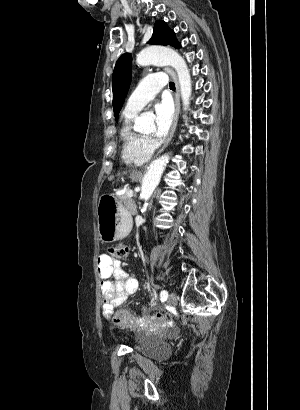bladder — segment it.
Instances as JSON below:
<instances>
[{
    "instance_id": "1",
    "label": "bladder",
    "mask_w": 300,
    "mask_h": 410,
    "mask_svg": "<svg viewBox=\"0 0 300 410\" xmlns=\"http://www.w3.org/2000/svg\"><path fill=\"white\" fill-rule=\"evenodd\" d=\"M136 352L142 355L156 357L163 355L164 350L170 352V348L164 342H155L150 344H139L135 348Z\"/></svg>"
}]
</instances>
